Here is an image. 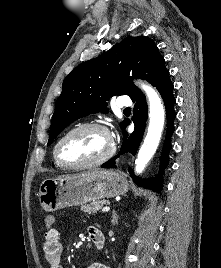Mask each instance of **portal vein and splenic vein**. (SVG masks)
<instances>
[{
  "mask_svg": "<svg viewBox=\"0 0 221 268\" xmlns=\"http://www.w3.org/2000/svg\"><path fill=\"white\" fill-rule=\"evenodd\" d=\"M108 211H110V207H103L102 208V212H108Z\"/></svg>",
  "mask_w": 221,
  "mask_h": 268,
  "instance_id": "portal-vein-and-splenic-vein-1",
  "label": "portal vein and splenic vein"
}]
</instances>
